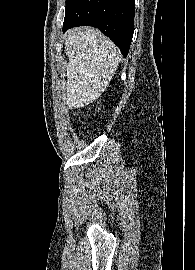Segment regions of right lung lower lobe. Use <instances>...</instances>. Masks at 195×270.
<instances>
[{
    "mask_svg": "<svg viewBox=\"0 0 195 270\" xmlns=\"http://www.w3.org/2000/svg\"><path fill=\"white\" fill-rule=\"evenodd\" d=\"M134 0H73L65 10L63 32L94 26L108 36L126 57L134 32Z\"/></svg>",
    "mask_w": 195,
    "mask_h": 270,
    "instance_id": "obj_1",
    "label": "right lung lower lobe"
}]
</instances>
